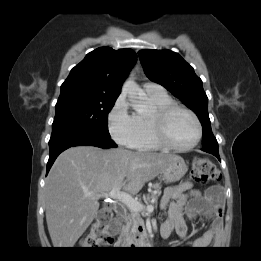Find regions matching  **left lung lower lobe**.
Returning <instances> with one entry per match:
<instances>
[{
  "instance_id": "1",
  "label": "left lung lower lobe",
  "mask_w": 261,
  "mask_h": 261,
  "mask_svg": "<svg viewBox=\"0 0 261 261\" xmlns=\"http://www.w3.org/2000/svg\"><path fill=\"white\" fill-rule=\"evenodd\" d=\"M202 150L205 151V152H208L210 154H213L214 156H216L218 158V160H220L218 148H216V147H203Z\"/></svg>"
}]
</instances>
